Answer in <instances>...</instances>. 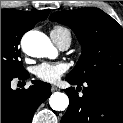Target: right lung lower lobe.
Listing matches in <instances>:
<instances>
[{
	"instance_id": "obj_1",
	"label": "right lung lower lobe",
	"mask_w": 123,
	"mask_h": 123,
	"mask_svg": "<svg viewBox=\"0 0 123 123\" xmlns=\"http://www.w3.org/2000/svg\"><path fill=\"white\" fill-rule=\"evenodd\" d=\"M29 77L26 73L20 80ZM12 79H1V123H31L34 112L51 95V86L32 81L28 89H11Z\"/></svg>"
}]
</instances>
